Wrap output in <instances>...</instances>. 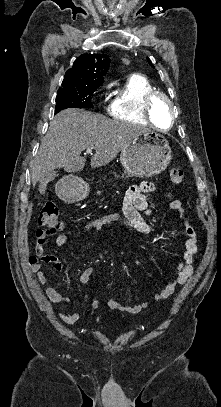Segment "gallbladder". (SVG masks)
<instances>
[{"mask_svg": "<svg viewBox=\"0 0 221 407\" xmlns=\"http://www.w3.org/2000/svg\"><path fill=\"white\" fill-rule=\"evenodd\" d=\"M56 176H57V173H56L55 171H51V172L45 174V175L42 177V179L40 180V185H39L40 190H41V191H44L45 188H46V186H47V184H48L50 181L54 180Z\"/></svg>", "mask_w": 221, "mask_h": 407, "instance_id": "gallbladder-1", "label": "gallbladder"}]
</instances>
